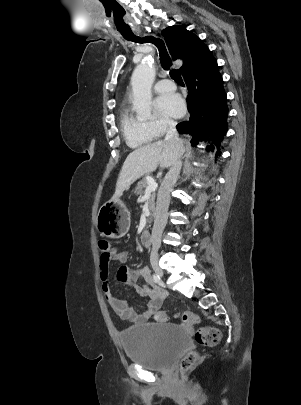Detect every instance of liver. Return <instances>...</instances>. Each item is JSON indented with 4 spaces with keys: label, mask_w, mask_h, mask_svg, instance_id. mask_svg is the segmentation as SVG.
Segmentation results:
<instances>
[{
    "label": "liver",
    "mask_w": 301,
    "mask_h": 405,
    "mask_svg": "<svg viewBox=\"0 0 301 405\" xmlns=\"http://www.w3.org/2000/svg\"><path fill=\"white\" fill-rule=\"evenodd\" d=\"M183 152L184 145L172 141H157L132 151L122 166L112 200L119 198L137 179L154 172L158 166L170 167Z\"/></svg>",
    "instance_id": "6515ba94"
}]
</instances>
